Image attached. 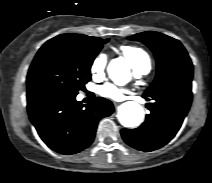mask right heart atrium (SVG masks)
Listing matches in <instances>:
<instances>
[{
    "instance_id": "right-heart-atrium-1",
    "label": "right heart atrium",
    "mask_w": 212,
    "mask_h": 183,
    "mask_svg": "<svg viewBox=\"0 0 212 183\" xmlns=\"http://www.w3.org/2000/svg\"><path fill=\"white\" fill-rule=\"evenodd\" d=\"M107 64V56L103 53L98 54L90 65V73L94 79H99L104 75Z\"/></svg>"
}]
</instances>
